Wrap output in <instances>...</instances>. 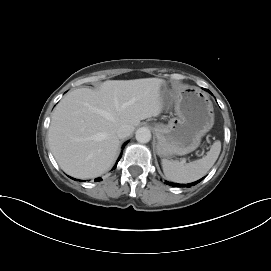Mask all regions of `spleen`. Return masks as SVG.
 <instances>
[{
	"instance_id": "1",
	"label": "spleen",
	"mask_w": 271,
	"mask_h": 271,
	"mask_svg": "<svg viewBox=\"0 0 271 271\" xmlns=\"http://www.w3.org/2000/svg\"><path fill=\"white\" fill-rule=\"evenodd\" d=\"M221 151V142L215 141L207 155L185 164L182 161L162 159L161 164L166 178L176 183L194 182L207 174L216 162Z\"/></svg>"
}]
</instances>
